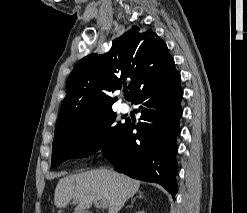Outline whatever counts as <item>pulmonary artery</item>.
I'll use <instances>...</instances> for the list:
<instances>
[{
  "label": "pulmonary artery",
  "instance_id": "pulmonary-artery-1",
  "mask_svg": "<svg viewBox=\"0 0 247 213\" xmlns=\"http://www.w3.org/2000/svg\"><path fill=\"white\" fill-rule=\"evenodd\" d=\"M130 107L127 103L122 102L119 104V111L122 113H127L129 111Z\"/></svg>",
  "mask_w": 247,
  "mask_h": 213
}]
</instances>
